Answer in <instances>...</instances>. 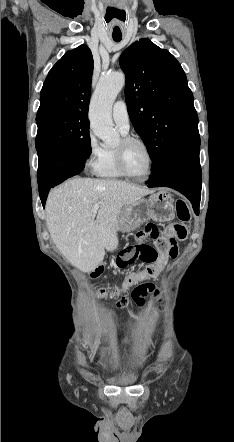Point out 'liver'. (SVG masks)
Instances as JSON below:
<instances>
[{
    "mask_svg": "<svg viewBox=\"0 0 234 442\" xmlns=\"http://www.w3.org/2000/svg\"><path fill=\"white\" fill-rule=\"evenodd\" d=\"M152 192L124 181L70 179L52 189L46 202L51 238L73 266L89 273L101 264L105 249L118 247L116 226L122 208ZM96 203L97 215L91 213Z\"/></svg>",
    "mask_w": 234,
    "mask_h": 442,
    "instance_id": "liver-1",
    "label": "liver"
}]
</instances>
